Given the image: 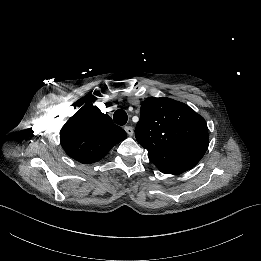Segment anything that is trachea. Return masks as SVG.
<instances>
[{
  "mask_svg": "<svg viewBox=\"0 0 261 261\" xmlns=\"http://www.w3.org/2000/svg\"><path fill=\"white\" fill-rule=\"evenodd\" d=\"M113 119L116 124L123 126L127 123L128 115L124 110L119 109L114 113Z\"/></svg>",
  "mask_w": 261,
  "mask_h": 261,
  "instance_id": "1",
  "label": "trachea"
}]
</instances>
